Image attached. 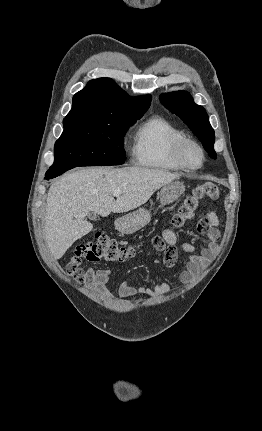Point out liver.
Instances as JSON below:
<instances>
[{"label":"liver","mask_w":262,"mask_h":431,"mask_svg":"<svg viewBox=\"0 0 262 431\" xmlns=\"http://www.w3.org/2000/svg\"><path fill=\"white\" fill-rule=\"evenodd\" d=\"M180 175L146 167L81 168L55 181L48 192L45 236L54 259H60L93 226L85 217L90 211L102 217L123 213L145 204L162 186ZM121 195L115 200L113 192Z\"/></svg>","instance_id":"1"}]
</instances>
